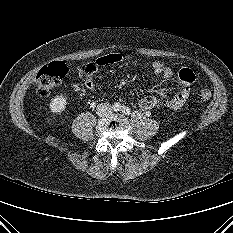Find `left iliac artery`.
I'll return each instance as SVG.
<instances>
[{
  "instance_id": "left-iliac-artery-1",
  "label": "left iliac artery",
  "mask_w": 233,
  "mask_h": 233,
  "mask_svg": "<svg viewBox=\"0 0 233 233\" xmlns=\"http://www.w3.org/2000/svg\"><path fill=\"white\" fill-rule=\"evenodd\" d=\"M122 112H123L125 115H129L131 111H130L129 107H123V108H122Z\"/></svg>"
}]
</instances>
